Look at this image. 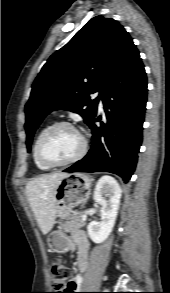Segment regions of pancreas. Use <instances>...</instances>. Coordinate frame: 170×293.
I'll list each match as a JSON object with an SVG mask.
<instances>
[{"mask_svg":"<svg viewBox=\"0 0 170 293\" xmlns=\"http://www.w3.org/2000/svg\"><path fill=\"white\" fill-rule=\"evenodd\" d=\"M82 212L72 211L68 220L62 225V228L69 231H75L85 226V222L82 220Z\"/></svg>","mask_w":170,"mask_h":293,"instance_id":"pancreas-1","label":"pancreas"}]
</instances>
